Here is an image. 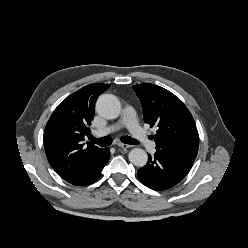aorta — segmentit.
Returning a JSON list of instances; mask_svg holds the SVG:
<instances>
[{"label":"aorta","mask_w":248,"mask_h":248,"mask_svg":"<svg viewBox=\"0 0 248 248\" xmlns=\"http://www.w3.org/2000/svg\"><path fill=\"white\" fill-rule=\"evenodd\" d=\"M96 112L106 119H115L121 113V103L116 96L103 94L97 99ZM128 158L137 167L145 166L148 160L147 153L141 148L132 149Z\"/></svg>","instance_id":"aorta-1"}]
</instances>
